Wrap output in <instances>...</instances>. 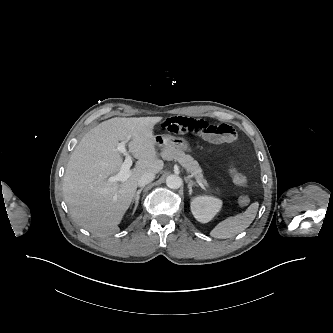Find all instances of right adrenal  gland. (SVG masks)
Masks as SVG:
<instances>
[{"mask_svg":"<svg viewBox=\"0 0 333 333\" xmlns=\"http://www.w3.org/2000/svg\"><path fill=\"white\" fill-rule=\"evenodd\" d=\"M142 190H143V187L140 188V189L136 192L135 196H134L133 199H132V203H135L133 213H134V212L136 211V209H137V206H138V203H139V198H140V193H141Z\"/></svg>","mask_w":333,"mask_h":333,"instance_id":"obj_1","label":"right adrenal gland"}]
</instances>
